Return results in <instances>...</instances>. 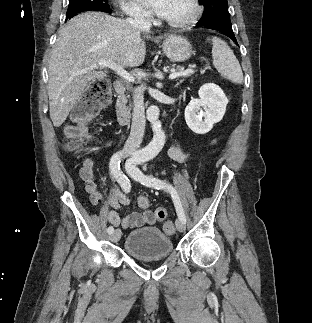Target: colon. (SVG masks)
Here are the masks:
<instances>
[{"label": "colon", "instance_id": "1", "mask_svg": "<svg viewBox=\"0 0 312 323\" xmlns=\"http://www.w3.org/2000/svg\"><path fill=\"white\" fill-rule=\"evenodd\" d=\"M111 101L110 82L106 77L93 79L82 93L80 106L72 112V121L66 127L65 147L68 150H80L90 138L87 125L98 113L101 107L108 105ZM84 167H89V162H84ZM138 206L147 209L150 200L147 197H140ZM157 218L162 222V229L166 234L175 233V225L167 220L165 206H156Z\"/></svg>", "mask_w": 312, "mask_h": 323}]
</instances>
